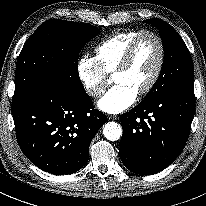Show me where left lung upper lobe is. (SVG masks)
Segmentation results:
<instances>
[{
    "label": "left lung upper lobe",
    "mask_w": 206,
    "mask_h": 206,
    "mask_svg": "<svg viewBox=\"0 0 206 206\" xmlns=\"http://www.w3.org/2000/svg\"><path fill=\"white\" fill-rule=\"evenodd\" d=\"M145 23L159 29L164 62L157 82L142 102H150L177 91H193V61L182 38L167 22L159 18L145 20Z\"/></svg>",
    "instance_id": "1"
}]
</instances>
